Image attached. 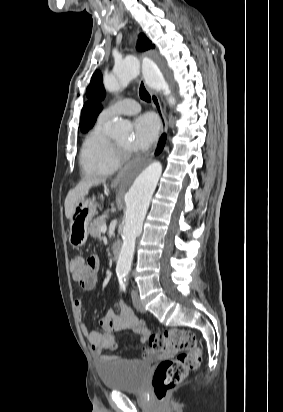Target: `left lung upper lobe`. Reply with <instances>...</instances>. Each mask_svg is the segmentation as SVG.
Wrapping results in <instances>:
<instances>
[{
	"instance_id": "obj_1",
	"label": "left lung upper lobe",
	"mask_w": 283,
	"mask_h": 412,
	"mask_svg": "<svg viewBox=\"0 0 283 412\" xmlns=\"http://www.w3.org/2000/svg\"><path fill=\"white\" fill-rule=\"evenodd\" d=\"M153 47L154 45H152L151 41L141 34L137 42V50L145 51ZM86 95L90 100L84 104L82 109L80 128L83 132L93 127L96 116L101 110V105L98 101L105 97L102 75L98 71L93 74L90 85L87 87Z\"/></svg>"
}]
</instances>
